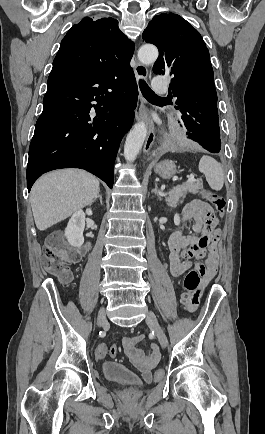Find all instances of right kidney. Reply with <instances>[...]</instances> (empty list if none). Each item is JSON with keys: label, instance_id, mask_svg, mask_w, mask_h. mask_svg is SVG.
<instances>
[{"label": "right kidney", "instance_id": "right-kidney-1", "mask_svg": "<svg viewBox=\"0 0 265 434\" xmlns=\"http://www.w3.org/2000/svg\"><path fill=\"white\" fill-rule=\"evenodd\" d=\"M92 216V210L87 208L86 212L83 210H77L73 216H71L67 228H65V234L70 246L74 248H80L84 244L83 232L85 228V216Z\"/></svg>", "mask_w": 265, "mask_h": 434}]
</instances>
